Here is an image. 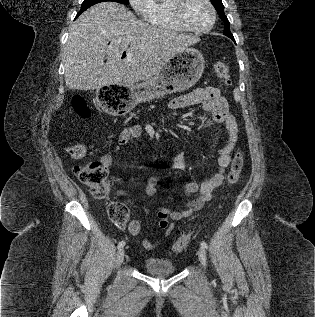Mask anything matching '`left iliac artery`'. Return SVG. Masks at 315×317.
Segmentation results:
<instances>
[{
  "label": "left iliac artery",
  "mask_w": 315,
  "mask_h": 317,
  "mask_svg": "<svg viewBox=\"0 0 315 317\" xmlns=\"http://www.w3.org/2000/svg\"><path fill=\"white\" fill-rule=\"evenodd\" d=\"M201 247L207 249V248H208V245H207V243H206L205 241H202V242H201Z\"/></svg>",
  "instance_id": "left-iliac-artery-1"
}]
</instances>
